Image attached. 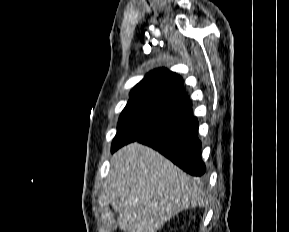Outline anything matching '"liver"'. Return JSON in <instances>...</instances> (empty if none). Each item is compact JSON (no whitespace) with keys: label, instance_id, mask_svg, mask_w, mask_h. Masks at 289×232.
<instances>
[{"label":"liver","instance_id":"obj_1","mask_svg":"<svg viewBox=\"0 0 289 232\" xmlns=\"http://www.w3.org/2000/svg\"><path fill=\"white\" fill-rule=\"evenodd\" d=\"M109 182L112 208L127 232H157L181 211L204 203L196 179L138 142L112 156Z\"/></svg>","mask_w":289,"mask_h":232}]
</instances>
